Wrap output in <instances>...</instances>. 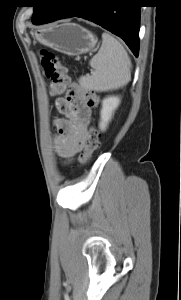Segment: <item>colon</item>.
<instances>
[{
	"label": "colon",
	"instance_id": "obj_1",
	"mask_svg": "<svg viewBox=\"0 0 181 300\" xmlns=\"http://www.w3.org/2000/svg\"><path fill=\"white\" fill-rule=\"evenodd\" d=\"M42 65L45 76L50 80V92L52 94H65L66 98L72 102L83 101L88 107L98 106L99 98L97 94L80 84L72 83L67 73L66 67L60 59L53 53L42 52ZM62 114L69 116L71 106L65 104L61 108ZM100 147V133L94 126L90 127L84 140L83 148L79 155V162L86 164L91 159L93 153Z\"/></svg>",
	"mask_w": 181,
	"mask_h": 300
}]
</instances>
